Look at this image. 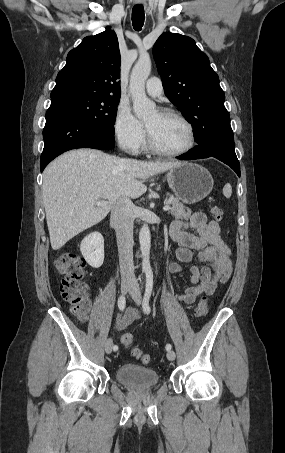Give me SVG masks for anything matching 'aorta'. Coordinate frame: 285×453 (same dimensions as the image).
Instances as JSON below:
<instances>
[{"label": "aorta", "mask_w": 285, "mask_h": 453, "mask_svg": "<svg viewBox=\"0 0 285 453\" xmlns=\"http://www.w3.org/2000/svg\"><path fill=\"white\" fill-rule=\"evenodd\" d=\"M151 72V60L148 55L140 56L134 65L130 76V94L133 101V109L137 118L145 119L152 115L156 109L155 103L145 94V82ZM139 243L142 256V269L150 272V247L151 235L147 224H144L139 232Z\"/></svg>", "instance_id": "aorta-1"}]
</instances>
